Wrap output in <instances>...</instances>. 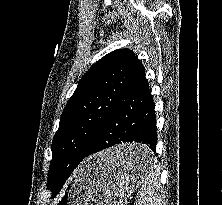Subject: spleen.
I'll use <instances>...</instances> for the list:
<instances>
[{"label":"spleen","instance_id":"1","mask_svg":"<svg viewBox=\"0 0 222 205\" xmlns=\"http://www.w3.org/2000/svg\"><path fill=\"white\" fill-rule=\"evenodd\" d=\"M159 176L158 166L152 163L146 173L144 184L137 193V205H162V187L159 182Z\"/></svg>","mask_w":222,"mask_h":205}]
</instances>
